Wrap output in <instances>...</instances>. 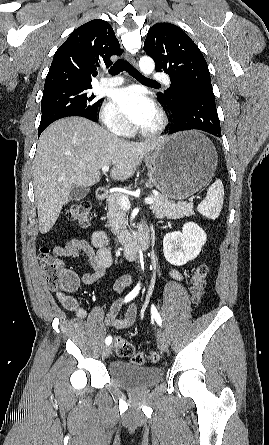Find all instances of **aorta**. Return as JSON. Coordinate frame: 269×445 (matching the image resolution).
I'll return each mask as SVG.
<instances>
[{
    "instance_id": "762f6f07",
    "label": "aorta",
    "mask_w": 269,
    "mask_h": 445,
    "mask_svg": "<svg viewBox=\"0 0 269 445\" xmlns=\"http://www.w3.org/2000/svg\"><path fill=\"white\" fill-rule=\"evenodd\" d=\"M139 67L145 75H149L154 71L155 64L153 59L147 56H143L139 60Z\"/></svg>"
}]
</instances>
